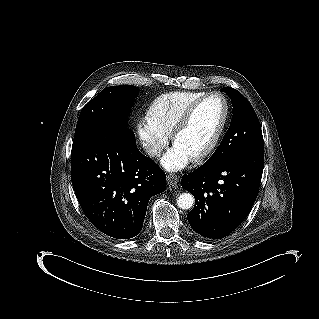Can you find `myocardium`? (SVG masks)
I'll use <instances>...</instances> for the list:
<instances>
[{
  "instance_id": "myocardium-1",
  "label": "myocardium",
  "mask_w": 319,
  "mask_h": 319,
  "mask_svg": "<svg viewBox=\"0 0 319 319\" xmlns=\"http://www.w3.org/2000/svg\"><path fill=\"white\" fill-rule=\"evenodd\" d=\"M211 98H219L222 101L223 114H222L219 126L216 129V131H215L213 137L211 138V140L209 141V143L201 150L192 153V155L195 159H201V158L205 157L206 155H208L214 149V147L216 146V144L218 143V141L222 135V132L224 130V127H225V124L227 121V117H228V103H227L225 96L220 92H210V93L203 95L200 99H198L196 102H194L185 111V113L182 115V117L179 119V121L175 125L173 132H172V139L174 142H177L179 132L185 126V124L188 122V120L190 119V117H191L193 111L196 109V107L198 105H200L202 102H204L208 99H211Z\"/></svg>"
}]
</instances>
